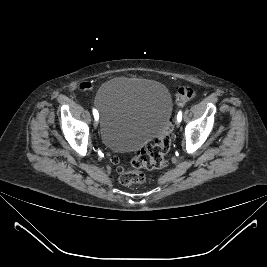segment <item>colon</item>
Segmentation results:
<instances>
[{
  "label": "colon",
  "mask_w": 267,
  "mask_h": 267,
  "mask_svg": "<svg viewBox=\"0 0 267 267\" xmlns=\"http://www.w3.org/2000/svg\"><path fill=\"white\" fill-rule=\"evenodd\" d=\"M194 96L195 92L192 88L180 87L176 93V102L178 105H184ZM171 129L169 122L154 142L147 144L137 152L131 160V169H127L120 162H117L120 172L119 179L123 185L129 186L144 182L145 174L142 169L154 170L166 165V155L171 147Z\"/></svg>",
  "instance_id": "colon-1"
}]
</instances>
